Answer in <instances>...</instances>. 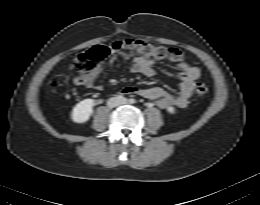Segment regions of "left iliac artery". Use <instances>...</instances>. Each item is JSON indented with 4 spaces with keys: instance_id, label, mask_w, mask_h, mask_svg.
<instances>
[{
    "instance_id": "1",
    "label": "left iliac artery",
    "mask_w": 260,
    "mask_h": 205,
    "mask_svg": "<svg viewBox=\"0 0 260 205\" xmlns=\"http://www.w3.org/2000/svg\"><path fill=\"white\" fill-rule=\"evenodd\" d=\"M129 101H130V103H135L136 102V100L133 99V98H131Z\"/></svg>"
}]
</instances>
